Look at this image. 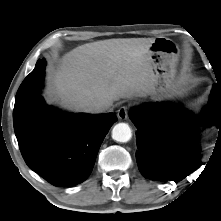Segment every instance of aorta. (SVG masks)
Returning <instances> with one entry per match:
<instances>
[{
    "label": "aorta",
    "instance_id": "aorta-1",
    "mask_svg": "<svg viewBox=\"0 0 221 221\" xmlns=\"http://www.w3.org/2000/svg\"><path fill=\"white\" fill-rule=\"evenodd\" d=\"M132 137V130L127 123H118L112 130V138L117 142H128Z\"/></svg>",
    "mask_w": 221,
    "mask_h": 221
}]
</instances>
